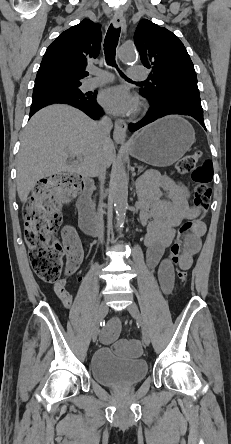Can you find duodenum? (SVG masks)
Returning a JSON list of instances; mask_svg holds the SVG:
<instances>
[{
	"mask_svg": "<svg viewBox=\"0 0 231 444\" xmlns=\"http://www.w3.org/2000/svg\"><path fill=\"white\" fill-rule=\"evenodd\" d=\"M92 191V180L84 177L82 180L81 193L77 200V207L79 212V223L82 231L88 236L96 237L99 236L100 230H98V217L93 213L90 201Z\"/></svg>",
	"mask_w": 231,
	"mask_h": 444,
	"instance_id": "obj_1",
	"label": "duodenum"
}]
</instances>
